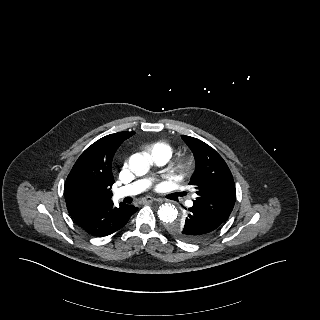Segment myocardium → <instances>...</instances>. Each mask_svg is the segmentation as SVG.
Listing matches in <instances>:
<instances>
[{
  "label": "myocardium",
  "instance_id": "myocardium-1",
  "mask_svg": "<svg viewBox=\"0 0 320 320\" xmlns=\"http://www.w3.org/2000/svg\"><path fill=\"white\" fill-rule=\"evenodd\" d=\"M195 165L194 157L190 154L183 156L175 165L174 172L180 175H187L189 174Z\"/></svg>",
  "mask_w": 320,
  "mask_h": 320
}]
</instances>
